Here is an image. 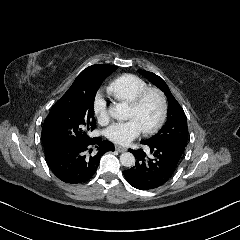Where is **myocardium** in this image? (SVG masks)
I'll return each instance as SVG.
<instances>
[{
	"label": "myocardium",
	"instance_id": "myocardium-1",
	"mask_svg": "<svg viewBox=\"0 0 240 240\" xmlns=\"http://www.w3.org/2000/svg\"><path fill=\"white\" fill-rule=\"evenodd\" d=\"M148 94H154L157 96L160 104V114L157 122L152 127L142 130V132L146 135L154 134L161 129V127L163 126L166 120L167 109H168L167 100L164 93L160 89L154 88V87H146L141 91H139L137 95L134 97V99L132 100V102L127 105L128 108L132 110H136L137 108H139L144 98Z\"/></svg>",
	"mask_w": 240,
	"mask_h": 240
}]
</instances>
